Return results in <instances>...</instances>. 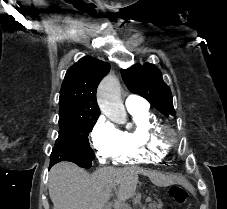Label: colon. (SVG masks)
<instances>
[{"instance_id":"obj_1","label":"colon","mask_w":227,"mask_h":209,"mask_svg":"<svg viewBox=\"0 0 227 209\" xmlns=\"http://www.w3.org/2000/svg\"><path fill=\"white\" fill-rule=\"evenodd\" d=\"M170 196L174 203L184 204L189 197V193L185 188L175 185L170 189Z\"/></svg>"}]
</instances>
